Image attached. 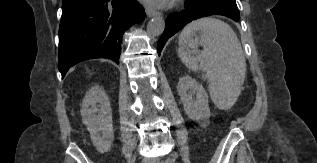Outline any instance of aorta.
<instances>
[{
  "label": "aorta",
  "mask_w": 317,
  "mask_h": 163,
  "mask_svg": "<svg viewBox=\"0 0 317 163\" xmlns=\"http://www.w3.org/2000/svg\"><path fill=\"white\" fill-rule=\"evenodd\" d=\"M164 29L165 21L160 15L153 17L147 25V31L152 36H160L163 33Z\"/></svg>",
  "instance_id": "762f6f07"
}]
</instances>
